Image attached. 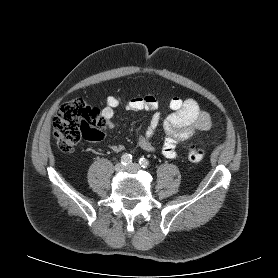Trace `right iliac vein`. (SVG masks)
I'll return each mask as SVG.
<instances>
[{"label": "right iliac vein", "instance_id": "1", "mask_svg": "<svg viewBox=\"0 0 278 278\" xmlns=\"http://www.w3.org/2000/svg\"><path fill=\"white\" fill-rule=\"evenodd\" d=\"M114 169L116 172H122L125 170V166L122 163H117Z\"/></svg>", "mask_w": 278, "mask_h": 278}]
</instances>
